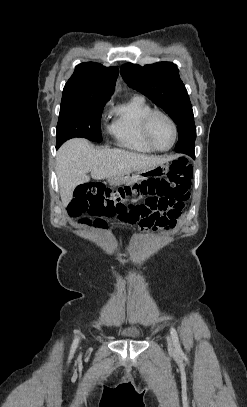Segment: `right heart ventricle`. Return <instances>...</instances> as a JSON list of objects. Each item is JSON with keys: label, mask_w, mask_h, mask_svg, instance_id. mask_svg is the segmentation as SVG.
<instances>
[{"label": "right heart ventricle", "mask_w": 247, "mask_h": 407, "mask_svg": "<svg viewBox=\"0 0 247 407\" xmlns=\"http://www.w3.org/2000/svg\"><path fill=\"white\" fill-rule=\"evenodd\" d=\"M151 110V106L141 97H134L111 109L112 120L108 131L120 147L143 154L154 151L145 142L141 131L142 120Z\"/></svg>", "instance_id": "obj_1"}]
</instances>
